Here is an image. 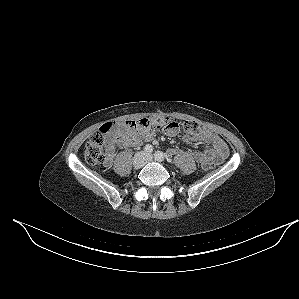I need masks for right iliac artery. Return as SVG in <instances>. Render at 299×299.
<instances>
[{
    "label": "right iliac artery",
    "instance_id": "obj_1",
    "mask_svg": "<svg viewBox=\"0 0 299 299\" xmlns=\"http://www.w3.org/2000/svg\"><path fill=\"white\" fill-rule=\"evenodd\" d=\"M144 150H145V152H147V153H151V152L153 151V146L147 144V145L144 147Z\"/></svg>",
    "mask_w": 299,
    "mask_h": 299
}]
</instances>
